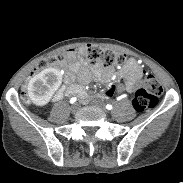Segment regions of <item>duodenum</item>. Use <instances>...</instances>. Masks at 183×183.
Returning <instances> with one entry per match:
<instances>
[{"label": "duodenum", "mask_w": 183, "mask_h": 183, "mask_svg": "<svg viewBox=\"0 0 183 183\" xmlns=\"http://www.w3.org/2000/svg\"><path fill=\"white\" fill-rule=\"evenodd\" d=\"M67 94L68 95L76 94L77 96H79L81 100H84L86 104H90L92 102V99L88 97V93L84 91L82 87L71 86L67 89Z\"/></svg>", "instance_id": "410a0bca"}]
</instances>
